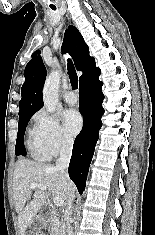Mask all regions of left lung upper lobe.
Here are the masks:
<instances>
[{
    "instance_id": "obj_1",
    "label": "left lung upper lobe",
    "mask_w": 155,
    "mask_h": 235,
    "mask_svg": "<svg viewBox=\"0 0 155 235\" xmlns=\"http://www.w3.org/2000/svg\"><path fill=\"white\" fill-rule=\"evenodd\" d=\"M39 53H40V51L38 50L33 54V56H35L36 54H39Z\"/></svg>"
}]
</instances>
